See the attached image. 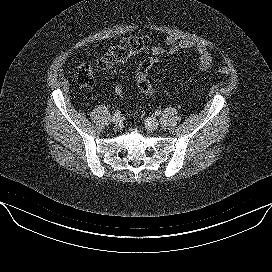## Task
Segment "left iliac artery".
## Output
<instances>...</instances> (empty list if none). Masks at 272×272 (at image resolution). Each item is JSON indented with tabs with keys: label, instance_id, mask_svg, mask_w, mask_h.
<instances>
[{
	"label": "left iliac artery",
	"instance_id": "1",
	"mask_svg": "<svg viewBox=\"0 0 272 272\" xmlns=\"http://www.w3.org/2000/svg\"><path fill=\"white\" fill-rule=\"evenodd\" d=\"M155 115L159 116L160 115V111H155Z\"/></svg>",
	"mask_w": 272,
	"mask_h": 272
}]
</instances>
